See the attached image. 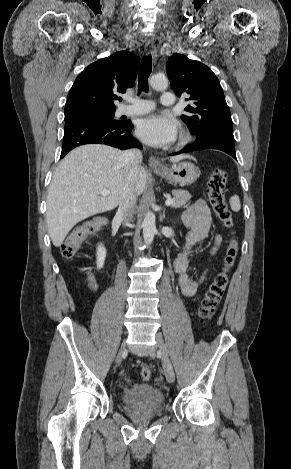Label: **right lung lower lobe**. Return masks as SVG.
Masks as SVG:
<instances>
[{
	"mask_svg": "<svg viewBox=\"0 0 291 469\" xmlns=\"http://www.w3.org/2000/svg\"><path fill=\"white\" fill-rule=\"evenodd\" d=\"M130 121L107 120L98 117H77L65 121L63 158L73 148L91 143L106 144L119 149L142 148L132 137Z\"/></svg>",
	"mask_w": 291,
	"mask_h": 469,
	"instance_id": "obj_1",
	"label": "right lung lower lobe"
}]
</instances>
